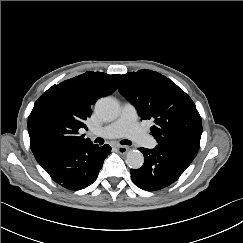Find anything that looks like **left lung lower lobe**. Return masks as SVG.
Returning <instances> with one entry per match:
<instances>
[{"label":"left lung lower lobe","instance_id":"left-lung-lower-lobe-1","mask_svg":"<svg viewBox=\"0 0 243 243\" xmlns=\"http://www.w3.org/2000/svg\"><path fill=\"white\" fill-rule=\"evenodd\" d=\"M199 147L198 142L177 141L158 144L154 149L139 148L145 161L141 168L130 170L132 181L146 191L169 186L187 169Z\"/></svg>","mask_w":243,"mask_h":243}]
</instances>
